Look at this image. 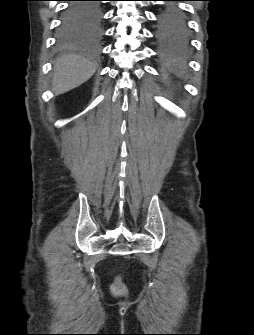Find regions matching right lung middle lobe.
<instances>
[{
    "label": "right lung middle lobe",
    "mask_w": 254,
    "mask_h": 335,
    "mask_svg": "<svg viewBox=\"0 0 254 335\" xmlns=\"http://www.w3.org/2000/svg\"><path fill=\"white\" fill-rule=\"evenodd\" d=\"M88 6H90L91 8H94L96 10H98L100 12V20L99 22L90 30H83L80 27V23H79V18L78 15H72L74 17V19H76L77 21L73 22L71 25L69 26H62L60 27L59 30V37L62 40H69L72 39L74 37L77 36H81V35H99L101 32V27H100V22H101V9H100V3L99 2H89Z\"/></svg>",
    "instance_id": "right-lung-middle-lobe-1"
}]
</instances>
